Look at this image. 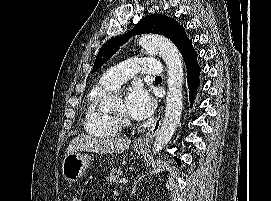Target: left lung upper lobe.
<instances>
[{
    "instance_id": "1",
    "label": "left lung upper lobe",
    "mask_w": 271,
    "mask_h": 201,
    "mask_svg": "<svg viewBox=\"0 0 271 201\" xmlns=\"http://www.w3.org/2000/svg\"><path fill=\"white\" fill-rule=\"evenodd\" d=\"M144 33H156L164 35L176 45L178 50L188 41H190L185 35L183 26H181L173 18L158 14L146 16L143 17L130 32L110 39L100 48L92 73L98 70L107 60H109L112 55L117 52L119 46L131 36Z\"/></svg>"
}]
</instances>
